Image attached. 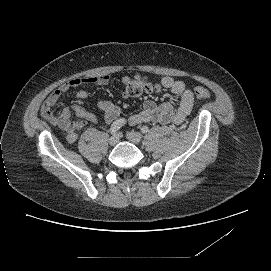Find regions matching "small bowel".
Listing matches in <instances>:
<instances>
[{
    "label": "small bowel",
    "instance_id": "1",
    "mask_svg": "<svg viewBox=\"0 0 271 271\" xmlns=\"http://www.w3.org/2000/svg\"><path fill=\"white\" fill-rule=\"evenodd\" d=\"M130 81V78L127 76L122 78V83L125 85V89L122 93L124 97H129L127 86ZM108 82L109 77L107 75H101L97 77L74 78L61 84L44 101L41 108L42 117L52 125L61 128L68 142H75L78 138L79 131L84 128L87 123H95L97 121L96 115L77 104L71 107H63L58 116L53 114V109L58 105L61 96L68 93L71 89L79 88L82 85L103 86ZM161 84L164 88L180 97L178 106L174 107L169 102L156 104L152 100H146L143 103L142 110L129 117L128 122L130 125L150 122L180 124L191 114L196 101L194 92L186 88L184 82L171 77L162 78ZM76 95L79 99H86L90 95V92L86 89H80ZM98 108L103 112L107 122L114 121L121 113L120 107L109 101L99 102ZM73 115L77 120H72Z\"/></svg>",
    "mask_w": 271,
    "mask_h": 271
}]
</instances>
